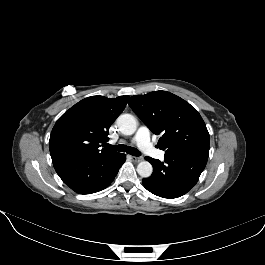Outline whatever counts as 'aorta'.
<instances>
[{
  "label": "aorta",
  "mask_w": 265,
  "mask_h": 265,
  "mask_svg": "<svg viewBox=\"0 0 265 265\" xmlns=\"http://www.w3.org/2000/svg\"><path fill=\"white\" fill-rule=\"evenodd\" d=\"M117 126L123 135H132L137 129V120L130 114H122L117 118ZM138 174L148 178L153 172V167L148 161H141L137 166Z\"/></svg>",
  "instance_id": "1"
}]
</instances>
